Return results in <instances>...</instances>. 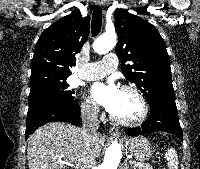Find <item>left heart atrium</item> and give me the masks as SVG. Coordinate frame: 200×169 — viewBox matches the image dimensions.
Returning <instances> with one entry per match:
<instances>
[{
	"label": "left heart atrium",
	"mask_w": 200,
	"mask_h": 169,
	"mask_svg": "<svg viewBox=\"0 0 200 169\" xmlns=\"http://www.w3.org/2000/svg\"><path fill=\"white\" fill-rule=\"evenodd\" d=\"M93 99L103 106L109 113H113L120 94V90L113 82L95 83L91 88Z\"/></svg>",
	"instance_id": "left-heart-atrium-1"
}]
</instances>
